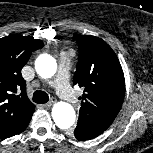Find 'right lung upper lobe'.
<instances>
[{
	"label": "right lung upper lobe",
	"mask_w": 153,
	"mask_h": 153,
	"mask_svg": "<svg viewBox=\"0 0 153 153\" xmlns=\"http://www.w3.org/2000/svg\"><path fill=\"white\" fill-rule=\"evenodd\" d=\"M44 44L33 37L13 34L0 39V138L15 135L35 111L26 94L22 67Z\"/></svg>",
	"instance_id": "cb5924a9"
}]
</instances>
